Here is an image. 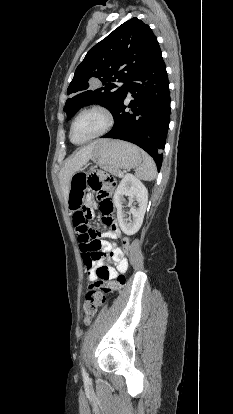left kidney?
I'll return each instance as SVG.
<instances>
[{
	"mask_svg": "<svg viewBox=\"0 0 233 414\" xmlns=\"http://www.w3.org/2000/svg\"><path fill=\"white\" fill-rule=\"evenodd\" d=\"M124 196L129 197V214L132 219H125L123 212ZM136 201L138 207H134ZM114 205L117 208V219L121 230L126 235H134L141 227L147 208L148 190L144 184L132 174H126L118 185L114 197Z\"/></svg>",
	"mask_w": 233,
	"mask_h": 414,
	"instance_id": "1",
	"label": "left kidney"
}]
</instances>
